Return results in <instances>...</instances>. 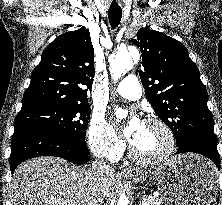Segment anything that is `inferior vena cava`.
I'll use <instances>...</instances> for the list:
<instances>
[{"instance_id": "inferior-vena-cava-1", "label": "inferior vena cava", "mask_w": 222, "mask_h": 205, "mask_svg": "<svg viewBox=\"0 0 222 205\" xmlns=\"http://www.w3.org/2000/svg\"><path fill=\"white\" fill-rule=\"evenodd\" d=\"M93 169L97 172V173H100V174H103V173H108L110 171H112L113 169L106 164V162L104 161H94L93 162Z\"/></svg>"}]
</instances>
